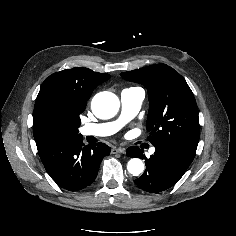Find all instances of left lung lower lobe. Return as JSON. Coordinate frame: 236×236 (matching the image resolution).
I'll return each instance as SVG.
<instances>
[{
  "label": "left lung lower lobe",
  "instance_id": "left-lung-lower-lobe-1",
  "mask_svg": "<svg viewBox=\"0 0 236 236\" xmlns=\"http://www.w3.org/2000/svg\"><path fill=\"white\" fill-rule=\"evenodd\" d=\"M156 151L145 159L146 170L134 182L142 190L149 193H159L175 185L184 175L195 157V152L174 145H154ZM128 156L142 157L143 152L138 147L127 149Z\"/></svg>",
  "mask_w": 236,
  "mask_h": 236
}]
</instances>
